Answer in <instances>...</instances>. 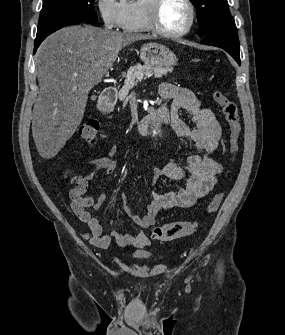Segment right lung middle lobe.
<instances>
[{
    "label": "right lung middle lobe",
    "mask_w": 285,
    "mask_h": 335,
    "mask_svg": "<svg viewBox=\"0 0 285 335\" xmlns=\"http://www.w3.org/2000/svg\"><path fill=\"white\" fill-rule=\"evenodd\" d=\"M94 0H43L37 32L65 20L96 22Z\"/></svg>",
    "instance_id": "obj_1"
}]
</instances>
